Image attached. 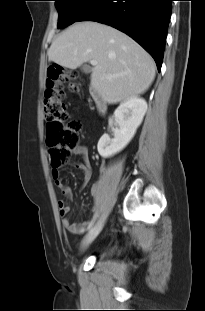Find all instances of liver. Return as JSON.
Segmentation results:
<instances>
[{
	"mask_svg": "<svg viewBox=\"0 0 205 311\" xmlns=\"http://www.w3.org/2000/svg\"><path fill=\"white\" fill-rule=\"evenodd\" d=\"M48 57L69 69L96 60L91 86L109 104L144 93L155 78L153 58L136 41L94 21L68 27L52 42Z\"/></svg>",
	"mask_w": 205,
	"mask_h": 311,
	"instance_id": "1",
	"label": "liver"
}]
</instances>
